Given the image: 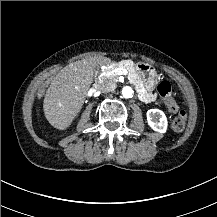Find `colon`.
I'll list each match as a JSON object with an SVG mask.
<instances>
[{
	"label": "colon",
	"mask_w": 217,
	"mask_h": 217,
	"mask_svg": "<svg viewBox=\"0 0 217 217\" xmlns=\"http://www.w3.org/2000/svg\"><path fill=\"white\" fill-rule=\"evenodd\" d=\"M158 94L164 100L167 108L175 113L172 127L175 131H182L187 122V113L179 109L176 101L172 98V85L168 80H162L157 87Z\"/></svg>",
	"instance_id": "colon-1"
}]
</instances>
